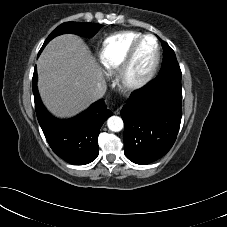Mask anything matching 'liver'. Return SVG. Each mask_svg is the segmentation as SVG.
I'll use <instances>...</instances> for the list:
<instances>
[{
  "mask_svg": "<svg viewBox=\"0 0 227 227\" xmlns=\"http://www.w3.org/2000/svg\"><path fill=\"white\" fill-rule=\"evenodd\" d=\"M38 88L57 117H71L88 107L102 71L81 38L61 35L51 40L37 61Z\"/></svg>",
  "mask_w": 227,
  "mask_h": 227,
  "instance_id": "1",
  "label": "liver"
}]
</instances>
